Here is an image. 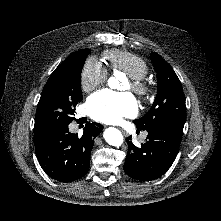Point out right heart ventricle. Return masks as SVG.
<instances>
[{"instance_id": "e07e8e85", "label": "right heart ventricle", "mask_w": 221, "mask_h": 221, "mask_svg": "<svg viewBox=\"0 0 221 221\" xmlns=\"http://www.w3.org/2000/svg\"><path fill=\"white\" fill-rule=\"evenodd\" d=\"M113 72L125 73L129 78L143 79L149 72L146 61L137 54L123 50H109L104 53Z\"/></svg>"}]
</instances>
